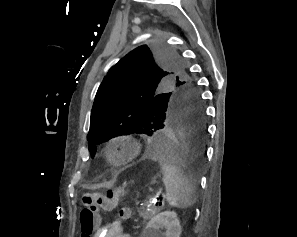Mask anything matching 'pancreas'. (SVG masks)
<instances>
[{
	"instance_id": "1",
	"label": "pancreas",
	"mask_w": 297,
	"mask_h": 237,
	"mask_svg": "<svg viewBox=\"0 0 297 237\" xmlns=\"http://www.w3.org/2000/svg\"><path fill=\"white\" fill-rule=\"evenodd\" d=\"M159 212V209L155 207H148V208H142L139 211V215L144 219V220H149L151 219L156 213Z\"/></svg>"
}]
</instances>
